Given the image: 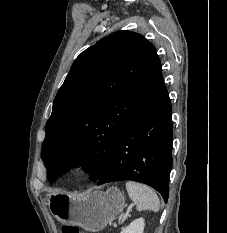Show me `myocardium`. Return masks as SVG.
<instances>
[{"mask_svg": "<svg viewBox=\"0 0 227 233\" xmlns=\"http://www.w3.org/2000/svg\"><path fill=\"white\" fill-rule=\"evenodd\" d=\"M91 166V161L89 158L81 156L74 159L72 166H71V172L75 176H82L86 174V172L89 170Z\"/></svg>", "mask_w": 227, "mask_h": 233, "instance_id": "obj_1", "label": "myocardium"}]
</instances>
